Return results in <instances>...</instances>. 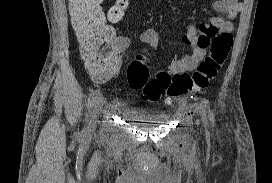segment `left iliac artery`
Here are the masks:
<instances>
[{
    "instance_id": "1",
    "label": "left iliac artery",
    "mask_w": 272,
    "mask_h": 183,
    "mask_svg": "<svg viewBox=\"0 0 272 183\" xmlns=\"http://www.w3.org/2000/svg\"><path fill=\"white\" fill-rule=\"evenodd\" d=\"M210 119H211L212 121H214V114H213V112H211V111H210Z\"/></svg>"
}]
</instances>
